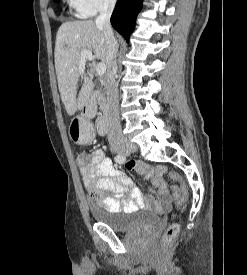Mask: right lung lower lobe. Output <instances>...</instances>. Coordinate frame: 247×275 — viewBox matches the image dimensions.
<instances>
[{"label": "right lung lower lobe", "mask_w": 247, "mask_h": 275, "mask_svg": "<svg viewBox=\"0 0 247 275\" xmlns=\"http://www.w3.org/2000/svg\"><path fill=\"white\" fill-rule=\"evenodd\" d=\"M142 2L143 0H118L111 16L112 26L127 42L135 28L136 17L142 9Z\"/></svg>", "instance_id": "obj_1"}]
</instances>
